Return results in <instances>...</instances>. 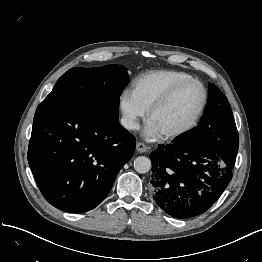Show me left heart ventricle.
<instances>
[{
  "mask_svg": "<svg viewBox=\"0 0 262 262\" xmlns=\"http://www.w3.org/2000/svg\"><path fill=\"white\" fill-rule=\"evenodd\" d=\"M202 99V90L196 84L182 88L173 99L156 112L152 121L162 134L184 127L196 113Z\"/></svg>",
  "mask_w": 262,
  "mask_h": 262,
  "instance_id": "b2bd125f",
  "label": "left heart ventricle"
}]
</instances>
